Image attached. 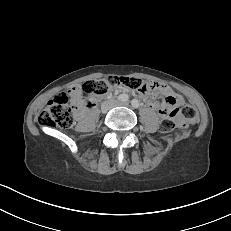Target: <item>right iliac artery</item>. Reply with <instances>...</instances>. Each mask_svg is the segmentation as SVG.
I'll use <instances>...</instances> for the list:
<instances>
[{
    "label": "right iliac artery",
    "mask_w": 231,
    "mask_h": 231,
    "mask_svg": "<svg viewBox=\"0 0 231 231\" xmlns=\"http://www.w3.org/2000/svg\"><path fill=\"white\" fill-rule=\"evenodd\" d=\"M118 99L120 100V101H127L128 99H129V97H128V95L127 94H121V95H119V97H118Z\"/></svg>",
    "instance_id": "1"
}]
</instances>
